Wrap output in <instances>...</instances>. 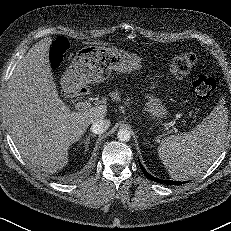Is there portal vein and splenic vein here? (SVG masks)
<instances>
[{
    "mask_svg": "<svg viewBox=\"0 0 231 231\" xmlns=\"http://www.w3.org/2000/svg\"><path fill=\"white\" fill-rule=\"evenodd\" d=\"M89 108H91V103L90 102H78L76 104V109L78 110H88ZM166 126L169 127H173L175 125L174 122H169V123H165Z\"/></svg>",
    "mask_w": 231,
    "mask_h": 231,
    "instance_id": "obj_1",
    "label": "portal vein and splenic vein"
}]
</instances>
